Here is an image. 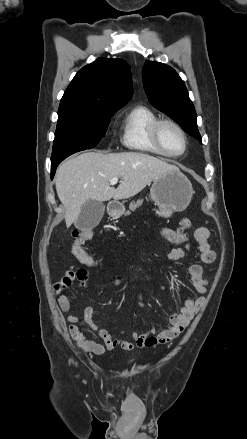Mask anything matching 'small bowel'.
Listing matches in <instances>:
<instances>
[{
    "instance_id": "c3829d8e",
    "label": "small bowel",
    "mask_w": 247,
    "mask_h": 439,
    "mask_svg": "<svg viewBox=\"0 0 247 439\" xmlns=\"http://www.w3.org/2000/svg\"><path fill=\"white\" fill-rule=\"evenodd\" d=\"M162 235L172 244L178 247L173 248L166 259L177 261L184 258L187 254L193 253L202 263L210 264L215 260V253L209 244V230L199 227L194 232L197 242L192 245L188 242L189 236L186 232H180L171 228H163ZM188 278L197 292L207 293L208 281L203 277V268L199 264H193L188 268ZM75 279L73 271H67L63 277L54 285V293L58 297V304L63 312L68 313L69 331L77 345L85 352L101 355L109 350L120 346L123 350L132 351L140 348H150L159 344H166L177 338L189 325L193 317L203 305L205 298L197 299L185 298L180 309L170 314L166 326L163 330L157 331L153 326L150 330L140 333L133 330L122 331L121 334L128 333L133 341H127L110 334L106 329L98 328L92 321L93 307H88L85 312L84 321L90 331L101 340L102 343L89 340L85 337V330L79 327V318L72 313V305L69 297L64 291L71 286ZM121 281H115V285H120ZM143 306L142 296L138 295L137 307Z\"/></svg>"
}]
</instances>
